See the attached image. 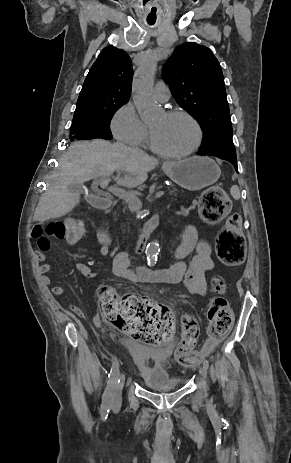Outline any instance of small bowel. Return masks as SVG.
<instances>
[{
	"label": "small bowel",
	"mask_w": 291,
	"mask_h": 463,
	"mask_svg": "<svg viewBox=\"0 0 291 463\" xmlns=\"http://www.w3.org/2000/svg\"><path fill=\"white\" fill-rule=\"evenodd\" d=\"M37 242L38 252L37 260L41 263L39 271L42 275V282L46 285L51 283L48 275L50 264L44 262L47 253L51 249L50 240L44 235H33ZM96 239L100 245V252L103 256H109V244L111 238L109 234L100 229L96 232ZM69 244H74L76 240H67ZM174 256L178 262L172 267L161 270L145 271L146 267H130L129 256L125 252H119L113 259V278L106 281V284L112 283L115 278L125 279L131 282L146 283H165L178 284L183 283L190 294L204 296L208 292V282L206 273L214 268L211 258V246L208 242L199 240L197 230L194 226H186L181 234V242L175 247ZM81 275L87 278H93L95 274L91 268L82 263L75 264ZM51 292L56 296H67L66 289L62 286H53ZM70 308L77 316L84 314V309L75 302H72ZM95 325H100V319L96 315L93 319Z\"/></svg>",
	"instance_id": "c3829d8e"
}]
</instances>
